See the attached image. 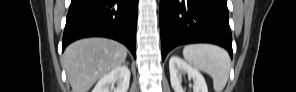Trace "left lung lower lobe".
<instances>
[{"label": "left lung lower lobe", "instance_id": "left-lung-lower-lobe-1", "mask_svg": "<svg viewBox=\"0 0 296 92\" xmlns=\"http://www.w3.org/2000/svg\"><path fill=\"white\" fill-rule=\"evenodd\" d=\"M162 60L176 46L213 43L232 57L227 0H161Z\"/></svg>", "mask_w": 296, "mask_h": 92}]
</instances>
